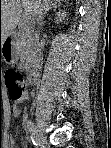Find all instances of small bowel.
Wrapping results in <instances>:
<instances>
[{"label": "small bowel", "instance_id": "obj_1", "mask_svg": "<svg viewBox=\"0 0 111 148\" xmlns=\"http://www.w3.org/2000/svg\"><path fill=\"white\" fill-rule=\"evenodd\" d=\"M12 112H13V115L15 117H17L20 113V108L18 107V105H14L13 108H12ZM13 144H14V141L12 138H9L8 141H7V144H6V147H13Z\"/></svg>", "mask_w": 111, "mask_h": 148}]
</instances>
